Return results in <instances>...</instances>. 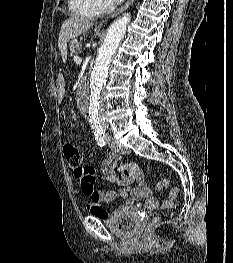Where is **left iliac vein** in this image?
<instances>
[{
  "label": "left iliac vein",
  "mask_w": 233,
  "mask_h": 263,
  "mask_svg": "<svg viewBox=\"0 0 233 263\" xmlns=\"http://www.w3.org/2000/svg\"><path fill=\"white\" fill-rule=\"evenodd\" d=\"M107 141L110 143L111 148L123 155L130 154V149L126 146L119 145L116 141H114L111 137H107Z\"/></svg>",
  "instance_id": "left-iliac-vein-1"
}]
</instances>
